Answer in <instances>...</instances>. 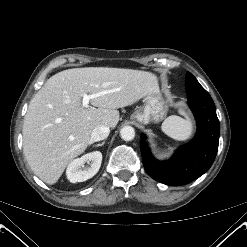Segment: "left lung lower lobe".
I'll return each instance as SVG.
<instances>
[{"label":"left lung lower lobe","instance_id":"0a47b994","mask_svg":"<svg viewBox=\"0 0 247 247\" xmlns=\"http://www.w3.org/2000/svg\"><path fill=\"white\" fill-rule=\"evenodd\" d=\"M186 89L197 121L194 139L165 162L153 158L144 135L140 141L145 170L154 180L167 185H184L203 175L213 164L218 150L220 124L211 96L195 77L186 80Z\"/></svg>","mask_w":247,"mask_h":247}]
</instances>
